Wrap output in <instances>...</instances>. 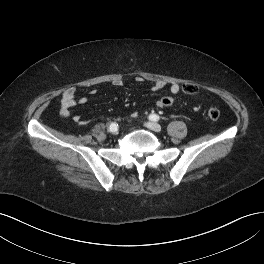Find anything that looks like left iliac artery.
Wrapping results in <instances>:
<instances>
[{
    "label": "left iliac artery",
    "instance_id": "44dca946",
    "mask_svg": "<svg viewBox=\"0 0 264 264\" xmlns=\"http://www.w3.org/2000/svg\"><path fill=\"white\" fill-rule=\"evenodd\" d=\"M149 119L151 120V121H158L159 120V116L157 115V114H151V115H149Z\"/></svg>",
    "mask_w": 264,
    "mask_h": 264
}]
</instances>
